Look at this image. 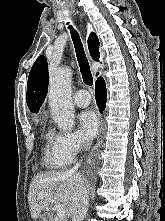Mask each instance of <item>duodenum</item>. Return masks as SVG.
Segmentation results:
<instances>
[{"mask_svg": "<svg viewBox=\"0 0 165 221\" xmlns=\"http://www.w3.org/2000/svg\"><path fill=\"white\" fill-rule=\"evenodd\" d=\"M44 221H48V219L46 218V219H44Z\"/></svg>", "mask_w": 165, "mask_h": 221, "instance_id": "410a0bca", "label": "duodenum"}]
</instances>
